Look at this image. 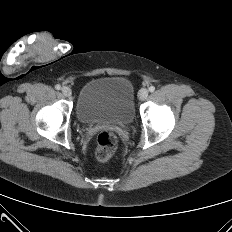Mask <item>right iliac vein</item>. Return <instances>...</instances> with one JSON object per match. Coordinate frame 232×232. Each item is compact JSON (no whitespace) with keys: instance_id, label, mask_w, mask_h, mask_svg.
<instances>
[{"instance_id":"right-iliac-vein-1","label":"right iliac vein","mask_w":232,"mask_h":232,"mask_svg":"<svg viewBox=\"0 0 232 232\" xmlns=\"http://www.w3.org/2000/svg\"><path fill=\"white\" fill-rule=\"evenodd\" d=\"M61 92L64 96L69 97L72 94V91L69 87H62Z\"/></svg>"}]
</instances>
